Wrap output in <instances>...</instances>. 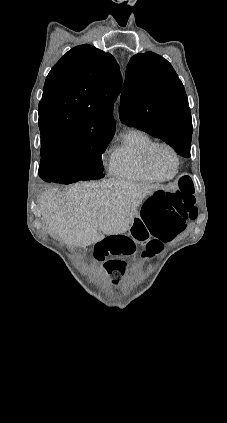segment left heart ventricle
<instances>
[{"mask_svg": "<svg viewBox=\"0 0 227 423\" xmlns=\"http://www.w3.org/2000/svg\"><path fill=\"white\" fill-rule=\"evenodd\" d=\"M151 164L154 170L162 177L171 176L176 169L173 154L166 148L158 147L151 155Z\"/></svg>", "mask_w": 227, "mask_h": 423, "instance_id": "left-heart-ventricle-1", "label": "left heart ventricle"}]
</instances>
